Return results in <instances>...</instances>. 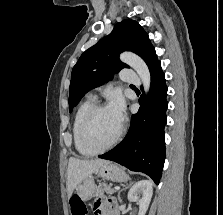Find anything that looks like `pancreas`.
Segmentation results:
<instances>
[{
  "mask_svg": "<svg viewBox=\"0 0 223 215\" xmlns=\"http://www.w3.org/2000/svg\"><path fill=\"white\" fill-rule=\"evenodd\" d=\"M115 189H111L110 185L99 183V191H97V195H103V193H113Z\"/></svg>",
  "mask_w": 223,
  "mask_h": 215,
  "instance_id": "cf45deb5",
  "label": "pancreas"
}]
</instances>
